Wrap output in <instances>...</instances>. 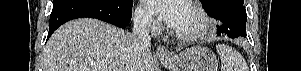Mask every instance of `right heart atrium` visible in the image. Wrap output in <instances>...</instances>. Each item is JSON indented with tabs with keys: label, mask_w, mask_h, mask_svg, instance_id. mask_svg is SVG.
<instances>
[{
	"label": "right heart atrium",
	"mask_w": 301,
	"mask_h": 71,
	"mask_svg": "<svg viewBox=\"0 0 301 71\" xmlns=\"http://www.w3.org/2000/svg\"><path fill=\"white\" fill-rule=\"evenodd\" d=\"M137 25L146 31H155L158 28V22L154 16L145 8L139 7L135 13Z\"/></svg>",
	"instance_id": "d8ad5b80"
}]
</instances>
